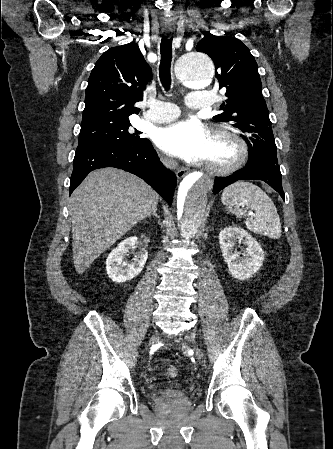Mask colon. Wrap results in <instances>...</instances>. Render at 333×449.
<instances>
[{"mask_svg":"<svg viewBox=\"0 0 333 449\" xmlns=\"http://www.w3.org/2000/svg\"><path fill=\"white\" fill-rule=\"evenodd\" d=\"M165 374L166 376H168L169 378H174L177 376L178 374V369L173 366V365H169L165 368Z\"/></svg>","mask_w":333,"mask_h":449,"instance_id":"obj_1","label":"colon"}]
</instances>
